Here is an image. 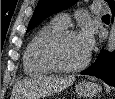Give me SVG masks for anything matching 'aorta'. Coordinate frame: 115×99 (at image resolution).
Returning a JSON list of instances; mask_svg holds the SVG:
<instances>
[{
	"label": "aorta",
	"instance_id": "1",
	"mask_svg": "<svg viewBox=\"0 0 115 99\" xmlns=\"http://www.w3.org/2000/svg\"><path fill=\"white\" fill-rule=\"evenodd\" d=\"M107 51L110 53L115 51V19L110 30V35L107 43Z\"/></svg>",
	"mask_w": 115,
	"mask_h": 99
}]
</instances>
